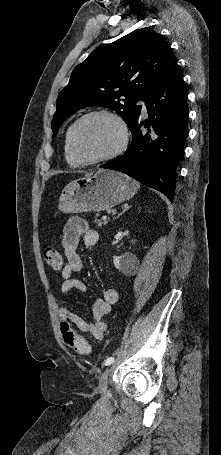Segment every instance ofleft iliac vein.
I'll use <instances>...</instances> for the list:
<instances>
[{
    "label": "left iliac vein",
    "instance_id": "left-iliac-vein-1",
    "mask_svg": "<svg viewBox=\"0 0 221 455\" xmlns=\"http://www.w3.org/2000/svg\"><path fill=\"white\" fill-rule=\"evenodd\" d=\"M111 367H107L101 374L98 382V390L100 392H105L108 384V376L110 373Z\"/></svg>",
    "mask_w": 221,
    "mask_h": 455
}]
</instances>
